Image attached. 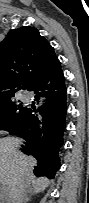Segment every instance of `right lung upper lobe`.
<instances>
[{
  "instance_id": "cb5924a9",
  "label": "right lung upper lobe",
  "mask_w": 89,
  "mask_h": 203,
  "mask_svg": "<svg viewBox=\"0 0 89 203\" xmlns=\"http://www.w3.org/2000/svg\"><path fill=\"white\" fill-rule=\"evenodd\" d=\"M59 65L53 47L36 28L11 30L0 42V106L11 102L21 85L29 90Z\"/></svg>"
}]
</instances>
